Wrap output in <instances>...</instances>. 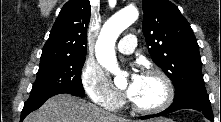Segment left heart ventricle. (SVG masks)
Segmentation results:
<instances>
[{
  "mask_svg": "<svg viewBox=\"0 0 221 122\" xmlns=\"http://www.w3.org/2000/svg\"><path fill=\"white\" fill-rule=\"evenodd\" d=\"M164 86L156 76H141L131 100L141 107H153L164 98Z\"/></svg>",
  "mask_w": 221,
  "mask_h": 122,
  "instance_id": "obj_1",
  "label": "left heart ventricle"
}]
</instances>
